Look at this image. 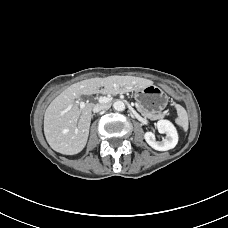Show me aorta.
<instances>
[{"instance_id": "762f6f07", "label": "aorta", "mask_w": 228, "mask_h": 228, "mask_svg": "<svg viewBox=\"0 0 228 228\" xmlns=\"http://www.w3.org/2000/svg\"><path fill=\"white\" fill-rule=\"evenodd\" d=\"M113 108L116 110V111H124L125 110V104L123 101H116L114 102L113 104Z\"/></svg>"}]
</instances>
